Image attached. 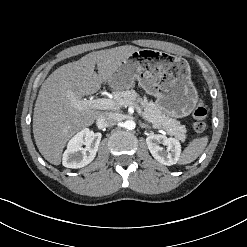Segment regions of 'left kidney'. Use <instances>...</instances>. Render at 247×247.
Wrapping results in <instances>:
<instances>
[{
    "label": "left kidney",
    "mask_w": 247,
    "mask_h": 247,
    "mask_svg": "<svg viewBox=\"0 0 247 247\" xmlns=\"http://www.w3.org/2000/svg\"><path fill=\"white\" fill-rule=\"evenodd\" d=\"M146 144L152 156L161 164L171 166L179 161L181 145L175 138L152 134L146 138ZM166 146V150L161 146Z\"/></svg>",
    "instance_id": "obj_1"
}]
</instances>
